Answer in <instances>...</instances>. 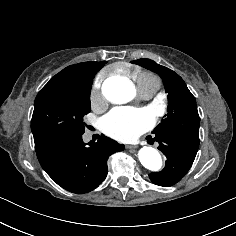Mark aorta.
I'll return each mask as SVG.
<instances>
[{"label": "aorta", "instance_id": "1", "mask_svg": "<svg viewBox=\"0 0 236 236\" xmlns=\"http://www.w3.org/2000/svg\"><path fill=\"white\" fill-rule=\"evenodd\" d=\"M103 95L112 103L121 104L130 101L135 95L134 85L123 77H113L104 82ZM141 164L151 171H158L162 167L160 153L153 147L144 146L138 152Z\"/></svg>", "mask_w": 236, "mask_h": 236}]
</instances>
